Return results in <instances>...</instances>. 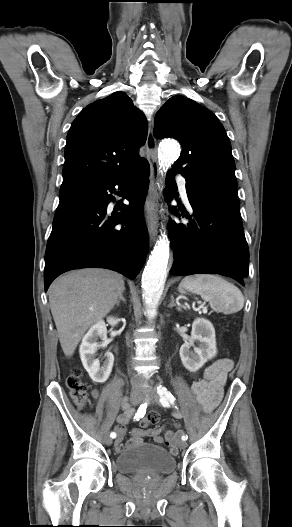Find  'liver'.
<instances>
[{
    "mask_svg": "<svg viewBox=\"0 0 292 527\" xmlns=\"http://www.w3.org/2000/svg\"><path fill=\"white\" fill-rule=\"evenodd\" d=\"M125 290L122 276L105 269H81L56 279L49 304L64 354L72 356L89 327L102 320Z\"/></svg>",
    "mask_w": 292,
    "mask_h": 527,
    "instance_id": "obj_1",
    "label": "liver"
}]
</instances>
